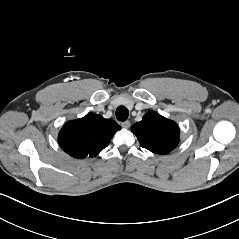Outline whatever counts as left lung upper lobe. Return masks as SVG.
Listing matches in <instances>:
<instances>
[{"instance_id": "1", "label": "left lung upper lobe", "mask_w": 239, "mask_h": 239, "mask_svg": "<svg viewBox=\"0 0 239 239\" xmlns=\"http://www.w3.org/2000/svg\"><path fill=\"white\" fill-rule=\"evenodd\" d=\"M131 131L140 145L153 153L167 154L179 143L178 125L154 111L146 113L142 121L131 127Z\"/></svg>"}]
</instances>
